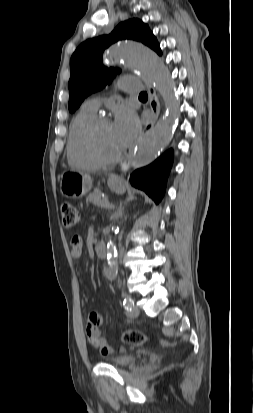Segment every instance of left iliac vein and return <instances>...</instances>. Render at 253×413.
Instances as JSON below:
<instances>
[{"label": "left iliac vein", "instance_id": "left-iliac-vein-1", "mask_svg": "<svg viewBox=\"0 0 253 413\" xmlns=\"http://www.w3.org/2000/svg\"><path fill=\"white\" fill-rule=\"evenodd\" d=\"M139 313H140V311L134 303L129 307V309L127 311V315L131 318L137 317L139 315Z\"/></svg>", "mask_w": 253, "mask_h": 413}]
</instances>
